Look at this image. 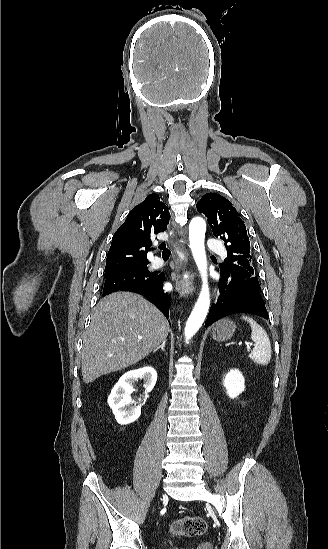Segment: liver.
Instances as JSON below:
<instances>
[{
	"label": "liver",
	"instance_id": "6515ba94",
	"mask_svg": "<svg viewBox=\"0 0 328 549\" xmlns=\"http://www.w3.org/2000/svg\"><path fill=\"white\" fill-rule=\"evenodd\" d=\"M169 333L163 313L136 293H112L93 309L85 333L81 373L84 383L145 359Z\"/></svg>",
	"mask_w": 328,
	"mask_h": 549
}]
</instances>
